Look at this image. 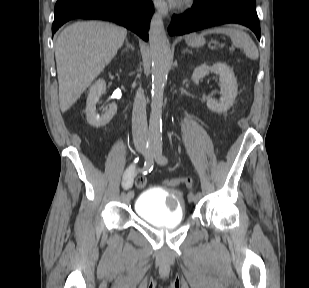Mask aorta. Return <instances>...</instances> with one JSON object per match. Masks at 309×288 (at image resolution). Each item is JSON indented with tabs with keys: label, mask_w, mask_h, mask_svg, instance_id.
<instances>
[{
	"label": "aorta",
	"mask_w": 309,
	"mask_h": 288,
	"mask_svg": "<svg viewBox=\"0 0 309 288\" xmlns=\"http://www.w3.org/2000/svg\"><path fill=\"white\" fill-rule=\"evenodd\" d=\"M149 44L152 58V100L149 120V137H162V104L164 87L170 68V45L160 11L154 13L149 27Z\"/></svg>",
	"instance_id": "aorta-1"
}]
</instances>
